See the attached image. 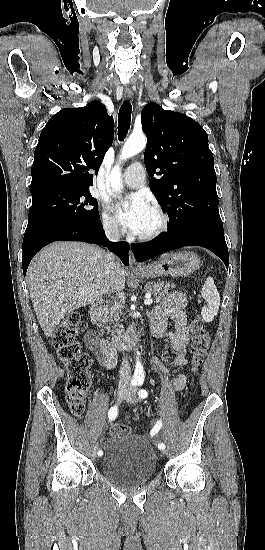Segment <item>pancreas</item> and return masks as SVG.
Returning <instances> with one entry per match:
<instances>
[{
  "label": "pancreas",
  "mask_w": 265,
  "mask_h": 550,
  "mask_svg": "<svg viewBox=\"0 0 265 550\" xmlns=\"http://www.w3.org/2000/svg\"><path fill=\"white\" fill-rule=\"evenodd\" d=\"M170 284L164 282H149L146 284L145 289L148 293L153 295L155 302H160L169 292ZM171 288H175L174 285ZM123 306L121 304H107L105 305L100 312V321L104 326L111 324L113 321L116 322L115 327L118 326L122 328V325L118 323L120 320V315ZM118 333L122 332V329L116 330Z\"/></svg>",
  "instance_id": "pancreas-1"
}]
</instances>
